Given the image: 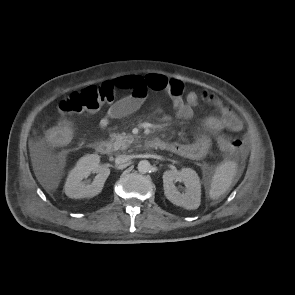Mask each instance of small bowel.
<instances>
[{
    "mask_svg": "<svg viewBox=\"0 0 295 295\" xmlns=\"http://www.w3.org/2000/svg\"><path fill=\"white\" fill-rule=\"evenodd\" d=\"M112 82L119 84L125 90H129L130 94L110 105L99 121L102 129L107 128L111 120L120 119L136 112L144 103L150 90L164 92L172 102L175 116L180 120L190 119L193 116L194 107L199 101V95L196 92H185V85L182 81L159 74H149L144 77H122ZM202 97L217 106L219 115L206 119L204 123L205 133L196 140L188 143L162 141L163 150L190 159H200L211 148V134H216L224 129L233 132L242 129V122L239 117L219 99L207 92Z\"/></svg>",
    "mask_w": 295,
    "mask_h": 295,
    "instance_id": "1",
    "label": "small bowel"
}]
</instances>
